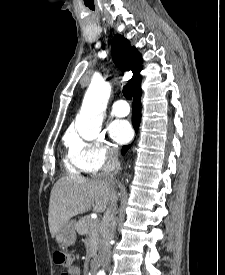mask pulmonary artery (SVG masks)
I'll list each match as a JSON object with an SVG mask.
<instances>
[{"label":"pulmonary artery","instance_id":"obj_1","mask_svg":"<svg viewBox=\"0 0 225 275\" xmlns=\"http://www.w3.org/2000/svg\"><path fill=\"white\" fill-rule=\"evenodd\" d=\"M129 106L124 100L116 101L111 109V112L114 116L124 117L129 114Z\"/></svg>","mask_w":225,"mask_h":275}]
</instances>
